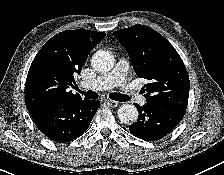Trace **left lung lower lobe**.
Instances as JSON below:
<instances>
[{"instance_id": "1", "label": "left lung lower lobe", "mask_w": 224, "mask_h": 175, "mask_svg": "<svg viewBox=\"0 0 224 175\" xmlns=\"http://www.w3.org/2000/svg\"><path fill=\"white\" fill-rule=\"evenodd\" d=\"M138 121L129 126L130 132L143 140L155 141L169 134L185 115L184 109L146 103L135 104Z\"/></svg>"}]
</instances>
